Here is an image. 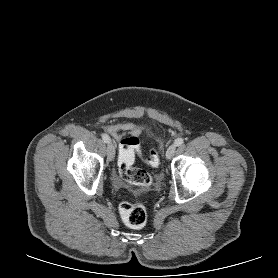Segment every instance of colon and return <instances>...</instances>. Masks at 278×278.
Masks as SVG:
<instances>
[{"mask_svg":"<svg viewBox=\"0 0 278 278\" xmlns=\"http://www.w3.org/2000/svg\"><path fill=\"white\" fill-rule=\"evenodd\" d=\"M139 151V140L135 137L123 139L119 145L118 168L121 177L130 184L147 187L152 183L151 176L143 169L133 166L135 155ZM146 163L152 167L159 165V156L155 150H150ZM119 213L126 225L132 228L144 226L147 211L143 204L123 201L119 205Z\"/></svg>","mask_w":278,"mask_h":278,"instance_id":"obj_1","label":"colon"}]
</instances>
